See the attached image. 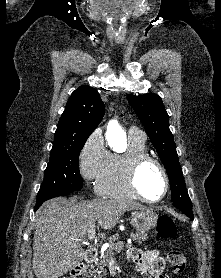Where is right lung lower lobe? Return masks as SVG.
I'll use <instances>...</instances> for the list:
<instances>
[{"mask_svg": "<svg viewBox=\"0 0 221 278\" xmlns=\"http://www.w3.org/2000/svg\"><path fill=\"white\" fill-rule=\"evenodd\" d=\"M72 192H73V191L61 192V193L57 194L56 197H57V196H65V195H68V194H70V193H72ZM40 205H41V204L37 203L36 206H35V210H37V209L40 207Z\"/></svg>", "mask_w": 221, "mask_h": 278, "instance_id": "obj_1", "label": "right lung lower lobe"}]
</instances>
